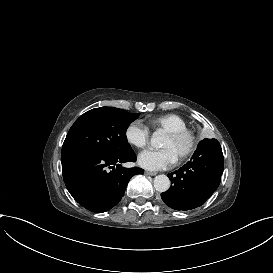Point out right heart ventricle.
Segmentation results:
<instances>
[{
  "label": "right heart ventricle",
  "mask_w": 273,
  "mask_h": 273,
  "mask_svg": "<svg viewBox=\"0 0 273 273\" xmlns=\"http://www.w3.org/2000/svg\"><path fill=\"white\" fill-rule=\"evenodd\" d=\"M139 122L142 124V121ZM144 126L147 128L150 127L156 131L162 130L165 133L167 131L188 128V122L184 117L177 113H166L151 117Z\"/></svg>",
  "instance_id": "e07e8e85"
}]
</instances>
